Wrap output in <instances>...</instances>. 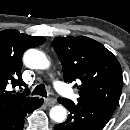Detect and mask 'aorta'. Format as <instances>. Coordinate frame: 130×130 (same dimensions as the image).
<instances>
[{
  "label": "aorta",
  "instance_id": "1",
  "mask_svg": "<svg viewBox=\"0 0 130 130\" xmlns=\"http://www.w3.org/2000/svg\"><path fill=\"white\" fill-rule=\"evenodd\" d=\"M23 62L31 69H48L50 67V61L47 59L46 55L37 49L27 50L24 53ZM49 114L53 121L62 123L67 117V110L62 105H57L50 109Z\"/></svg>",
  "mask_w": 130,
  "mask_h": 130
}]
</instances>
